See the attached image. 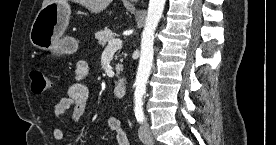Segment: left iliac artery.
I'll list each match as a JSON object with an SVG mask.
<instances>
[{
    "label": "left iliac artery",
    "mask_w": 276,
    "mask_h": 145,
    "mask_svg": "<svg viewBox=\"0 0 276 145\" xmlns=\"http://www.w3.org/2000/svg\"><path fill=\"white\" fill-rule=\"evenodd\" d=\"M135 117L139 123H143L145 120L143 108L141 106H136L134 109Z\"/></svg>",
    "instance_id": "44dca946"
}]
</instances>
